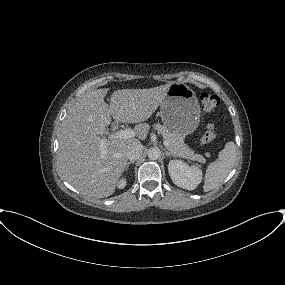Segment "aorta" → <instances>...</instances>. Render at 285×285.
<instances>
[{"label":"aorta","mask_w":285,"mask_h":285,"mask_svg":"<svg viewBox=\"0 0 285 285\" xmlns=\"http://www.w3.org/2000/svg\"><path fill=\"white\" fill-rule=\"evenodd\" d=\"M147 154L150 160H157L161 156V151L158 147H152V148H149Z\"/></svg>","instance_id":"1"}]
</instances>
